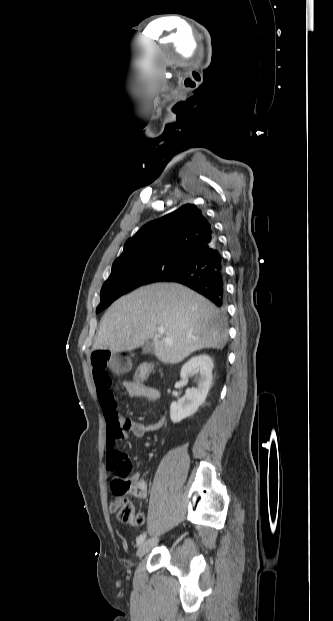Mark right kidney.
I'll return each instance as SVG.
<instances>
[{
	"label": "right kidney",
	"instance_id": "right-kidney-1",
	"mask_svg": "<svg viewBox=\"0 0 333 621\" xmlns=\"http://www.w3.org/2000/svg\"><path fill=\"white\" fill-rule=\"evenodd\" d=\"M213 360L206 354L192 357L181 368L180 378L187 380L195 369H199L200 378L197 387L186 390L185 395L170 406V419L178 423L193 415L204 403L212 383Z\"/></svg>",
	"mask_w": 333,
	"mask_h": 621
}]
</instances>
